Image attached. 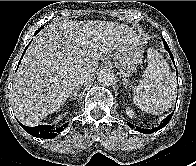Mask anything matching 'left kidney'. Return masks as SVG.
<instances>
[{"mask_svg": "<svg viewBox=\"0 0 196 166\" xmlns=\"http://www.w3.org/2000/svg\"><path fill=\"white\" fill-rule=\"evenodd\" d=\"M126 114H127V116H128L129 118H133V117L135 116V113H134L133 109L130 108V107H127V108H126Z\"/></svg>", "mask_w": 196, "mask_h": 166, "instance_id": "1", "label": "left kidney"}]
</instances>
